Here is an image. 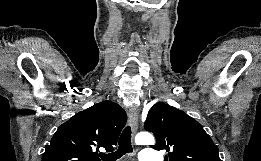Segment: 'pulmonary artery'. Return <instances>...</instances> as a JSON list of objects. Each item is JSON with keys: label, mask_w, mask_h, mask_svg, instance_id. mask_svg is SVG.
Segmentation results:
<instances>
[{"label": "pulmonary artery", "mask_w": 261, "mask_h": 161, "mask_svg": "<svg viewBox=\"0 0 261 161\" xmlns=\"http://www.w3.org/2000/svg\"><path fill=\"white\" fill-rule=\"evenodd\" d=\"M139 161H154V158L150 156L149 149H143L139 154Z\"/></svg>", "instance_id": "e3ab8cb5"}]
</instances>
